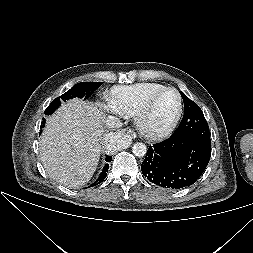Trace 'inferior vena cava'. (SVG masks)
<instances>
[{
	"label": "inferior vena cava",
	"mask_w": 253,
	"mask_h": 253,
	"mask_svg": "<svg viewBox=\"0 0 253 253\" xmlns=\"http://www.w3.org/2000/svg\"><path fill=\"white\" fill-rule=\"evenodd\" d=\"M105 125L108 128H120L122 126V123L119 118L115 116H108L105 120Z\"/></svg>",
	"instance_id": "1"
}]
</instances>
